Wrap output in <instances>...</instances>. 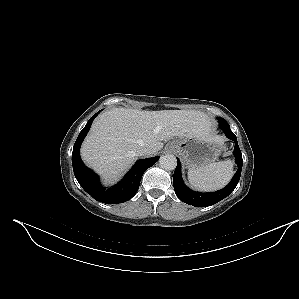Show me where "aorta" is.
<instances>
[{"label":"aorta","instance_id":"1","mask_svg":"<svg viewBox=\"0 0 299 299\" xmlns=\"http://www.w3.org/2000/svg\"><path fill=\"white\" fill-rule=\"evenodd\" d=\"M159 164L162 169L170 171L176 168L177 160L174 155L165 154L160 157Z\"/></svg>","mask_w":299,"mask_h":299}]
</instances>
